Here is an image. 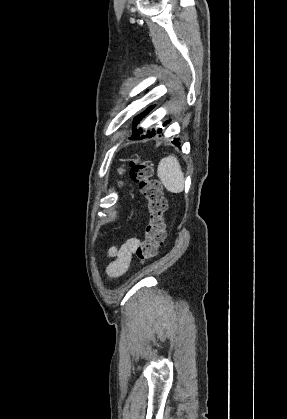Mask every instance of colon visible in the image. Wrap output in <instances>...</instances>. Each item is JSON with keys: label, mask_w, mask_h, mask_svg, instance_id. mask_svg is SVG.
Instances as JSON below:
<instances>
[{"label": "colon", "mask_w": 287, "mask_h": 419, "mask_svg": "<svg viewBox=\"0 0 287 419\" xmlns=\"http://www.w3.org/2000/svg\"><path fill=\"white\" fill-rule=\"evenodd\" d=\"M123 169H120L122 172ZM153 168L147 161L137 156L130 161V176L139 185L147 201L149 213L144 240L136 249L140 263H146L156 257L165 239L164 212L167 202L159 181L152 178Z\"/></svg>", "instance_id": "colon-1"}]
</instances>
